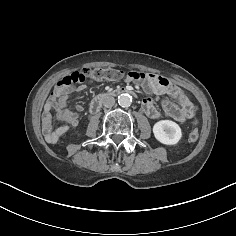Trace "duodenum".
Instances as JSON below:
<instances>
[{
	"label": "duodenum",
	"mask_w": 236,
	"mask_h": 236,
	"mask_svg": "<svg viewBox=\"0 0 236 236\" xmlns=\"http://www.w3.org/2000/svg\"><path fill=\"white\" fill-rule=\"evenodd\" d=\"M124 93H132V91L126 87H121L118 89H115L113 91H108V92H102L100 94H98L92 101L90 108H89V112L90 114H95L98 112V110L100 109L103 100L108 97V96H117V95H121Z\"/></svg>",
	"instance_id": "1"
}]
</instances>
